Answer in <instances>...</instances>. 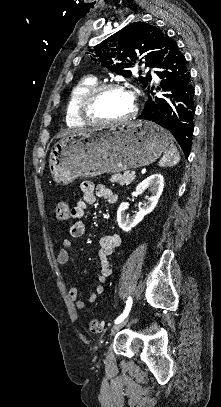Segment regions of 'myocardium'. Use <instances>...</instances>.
Masks as SVG:
<instances>
[{"label":"myocardium","instance_id":"obj_1","mask_svg":"<svg viewBox=\"0 0 221 407\" xmlns=\"http://www.w3.org/2000/svg\"><path fill=\"white\" fill-rule=\"evenodd\" d=\"M112 90H125L128 91L131 96L133 97V108L132 110L123 117L117 119H105L99 116L95 112V106L101 99V97ZM79 110L81 113L82 118L86 122L94 123V124H120L126 122L133 118L138 111V104L137 98L135 94L129 91L124 85L119 83H104L99 84L96 87L92 88L80 101L79 103Z\"/></svg>","mask_w":221,"mask_h":407}]
</instances>
